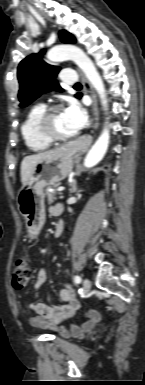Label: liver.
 <instances>
[{
  "instance_id": "6515ba94",
  "label": "liver",
  "mask_w": 145,
  "mask_h": 385,
  "mask_svg": "<svg viewBox=\"0 0 145 385\" xmlns=\"http://www.w3.org/2000/svg\"><path fill=\"white\" fill-rule=\"evenodd\" d=\"M51 151L42 152L38 154H33L24 157L21 163V182L22 185H26L32 175V172L36 166V164L42 160L46 155H48Z\"/></svg>"
}]
</instances>
